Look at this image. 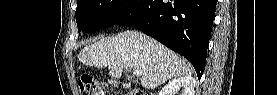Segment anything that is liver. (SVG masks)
<instances>
[{
  "label": "liver",
  "instance_id": "6515ba94",
  "mask_svg": "<svg viewBox=\"0 0 277 95\" xmlns=\"http://www.w3.org/2000/svg\"><path fill=\"white\" fill-rule=\"evenodd\" d=\"M78 59L90 67H108V75L117 79L124 69L139 70L141 85L147 89H154L174 77L192 74L185 59L153 38L132 30L84 47Z\"/></svg>",
  "mask_w": 277,
  "mask_h": 95
}]
</instances>
